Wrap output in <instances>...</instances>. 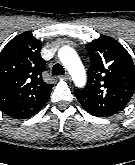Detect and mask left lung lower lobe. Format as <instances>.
<instances>
[{
    "mask_svg": "<svg viewBox=\"0 0 135 165\" xmlns=\"http://www.w3.org/2000/svg\"><path fill=\"white\" fill-rule=\"evenodd\" d=\"M90 114H92V115H94V116H102V115H100V114H97V113H95V112H91V111H88Z\"/></svg>",
    "mask_w": 135,
    "mask_h": 165,
    "instance_id": "0a47b994",
    "label": "left lung lower lobe"
}]
</instances>
